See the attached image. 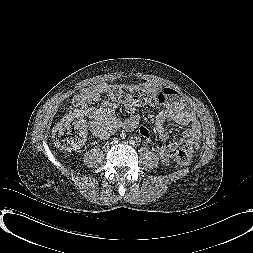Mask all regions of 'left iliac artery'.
<instances>
[{"instance_id": "left-iliac-artery-1", "label": "left iliac artery", "mask_w": 253, "mask_h": 253, "mask_svg": "<svg viewBox=\"0 0 253 253\" xmlns=\"http://www.w3.org/2000/svg\"><path fill=\"white\" fill-rule=\"evenodd\" d=\"M130 144H133V145H134V144H135V142H134V141H131V142H130Z\"/></svg>"}]
</instances>
